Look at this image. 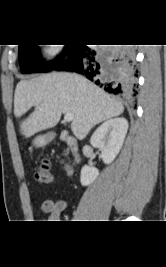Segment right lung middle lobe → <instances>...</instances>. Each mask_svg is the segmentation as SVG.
<instances>
[{"mask_svg": "<svg viewBox=\"0 0 166 267\" xmlns=\"http://www.w3.org/2000/svg\"><path fill=\"white\" fill-rule=\"evenodd\" d=\"M71 45H66L63 54L51 62H43L39 60V50L37 45L23 44L19 45V62L23 73L48 72L57 66L66 56Z\"/></svg>", "mask_w": 166, "mask_h": 267, "instance_id": "right-lung-middle-lobe-1", "label": "right lung middle lobe"}]
</instances>
